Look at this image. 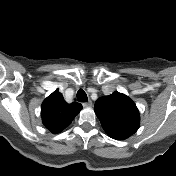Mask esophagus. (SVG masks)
I'll return each mask as SVG.
<instances>
[{
	"label": "esophagus",
	"mask_w": 176,
	"mask_h": 176,
	"mask_svg": "<svg viewBox=\"0 0 176 176\" xmlns=\"http://www.w3.org/2000/svg\"><path fill=\"white\" fill-rule=\"evenodd\" d=\"M83 106L84 107H91L92 106V102L91 101L85 102V103H83Z\"/></svg>",
	"instance_id": "1"
}]
</instances>
